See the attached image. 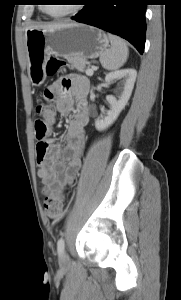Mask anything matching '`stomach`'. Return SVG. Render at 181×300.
I'll return each instance as SVG.
<instances>
[{"label":"stomach","instance_id":"stomach-1","mask_svg":"<svg viewBox=\"0 0 181 300\" xmlns=\"http://www.w3.org/2000/svg\"><path fill=\"white\" fill-rule=\"evenodd\" d=\"M108 46L107 35L86 24L70 23L52 31L29 29L26 31V51L30 80L34 85L45 81V66L50 55L87 61L97 58Z\"/></svg>","mask_w":181,"mask_h":300}]
</instances>
